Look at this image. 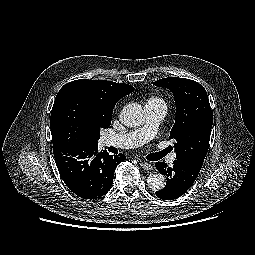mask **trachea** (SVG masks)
<instances>
[{
	"instance_id": "3493384b",
	"label": "trachea",
	"mask_w": 255,
	"mask_h": 255,
	"mask_svg": "<svg viewBox=\"0 0 255 255\" xmlns=\"http://www.w3.org/2000/svg\"><path fill=\"white\" fill-rule=\"evenodd\" d=\"M166 153H168L167 150H163L158 153L149 154L146 158L150 161H157V160L163 158L166 155Z\"/></svg>"
}]
</instances>
